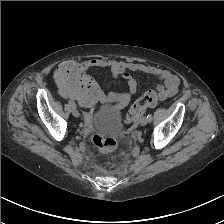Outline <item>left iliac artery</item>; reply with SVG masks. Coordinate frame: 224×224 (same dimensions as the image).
Instances as JSON below:
<instances>
[{
	"label": "left iliac artery",
	"mask_w": 224,
	"mask_h": 224,
	"mask_svg": "<svg viewBox=\"0 0 224 224\" xmlns=\"http://www.w3.org/2000/svg\"><path fill=\"white\" fill-rule=\"evenodd\" d=\"M147 118H148L149 122L152 121V115H151V114H148V115H147Z\"/></svg>",
	"instance_id": "left-iliac-artery-1"
}]
</instances>
